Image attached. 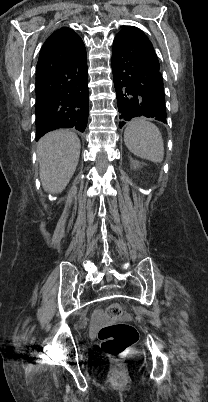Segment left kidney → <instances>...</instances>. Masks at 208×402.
I'll return each mask as SVG.
<instances>
[{"label":"left kidney","mask_w":208,"mask_h":402,"mask_svg":"<svg viewBox=\"0 0 208 402\" xmlns=\"http://www.w3.org/2000/svg\"><path fill=\"white\" fill-rule=\"evenodd\" d=\"M131 164H132L134 170H136V168H141L140 162H136V160H132ZM143 166H146V164H143Z\"/></svg>","instance_id":"obj_1"}]
</instances>
